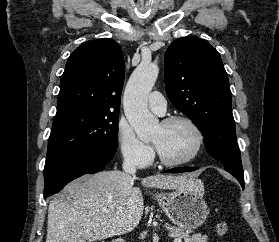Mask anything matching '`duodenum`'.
<instances>
[{
  "label": "duodenum",
  "instance_id": "1",
  "mask_svg": "<svg viewBox=\"0 0 279 242\" xmlns=\"http://www.w3.org/2000/svg\"><path fill=\"white\" fill-rule=\"evenodd\" d=\"M113 242H125V241L122 240V239H116V240H114Z\"/></svg>",
  "mask_w": 279,
  "mask_h": 242
}]
</instances>
